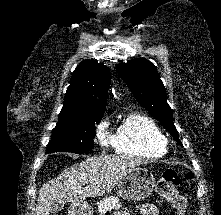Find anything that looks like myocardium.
Returning a JSON list of instances; mask_svg holds the SVG:
<instances>
[{"mask_svg": "<svg viewBox=\"0 0 221 215\" xmlns=\"http://www.w3.org/2000/svg\"><path fill=\"white\" fill-rule=\"evenodd\" d=\"M162 143L164 144V146L166 147V144H167V140H166V138L163 136L162 137Z\"/></svg>", "mask_w": 221, "mask_h": 215, "instance_id": "f54148a6", "label": "myocardium"}]
</instances>
